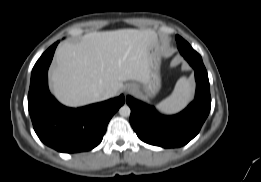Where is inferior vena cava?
<instances>
[{
    "mask_svg": "<svg viewBox=\"0 0 261 182\" xmlns=\"http://www.w3.org/2000/svg\"><path fill=\"white\" fill-rule=\"evenodd\" d=\"M111 95H112L111 91L107 90V91L104 93L103 97H104L105 99H107V98L111 97Z\"/></svg>",
    "mask_w": 261,
    "mask_h": 182,
    "instance_id": "obj_1",
    "label": "inferior vena cava"
}]
</instances>
